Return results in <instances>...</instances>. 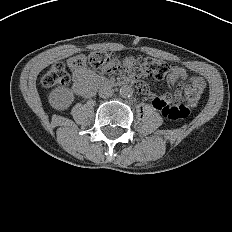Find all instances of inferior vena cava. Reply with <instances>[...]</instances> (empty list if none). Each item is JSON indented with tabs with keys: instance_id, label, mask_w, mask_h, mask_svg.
Listing matches in <instances>:
<instances>
[{
	"instance_id": "602c4592",
	"label": "inferior vena cava",
	"mask_w": 232,
	"mask_h": 232,
	"mask_svg": "<svg viewBox=\"0 0 232 232\" xmlns=\"http://www.w3.org/2000/svg\"><path fill=\"white\" fill-rule=\"evenodd\" d=\"M114 94V90L109 86H103L99 89V96L101 98H109Z\"/></svg>"
}]
</instances>
